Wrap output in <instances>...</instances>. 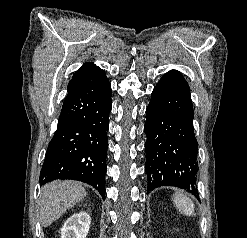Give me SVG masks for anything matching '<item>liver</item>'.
<instances>
[{
    "instance_id": "6515ba94",
    "label": "liver",
    "mask_w": 247,
    "mask_h": 238,
    "mask_svg": "<svg viewBox=\"0 0 247 238\" xmlns=\"http://www.w3.org/2000/svg\"><path fill=\"white\" fill-rule=\"evenodd\" d=\"M86 190L74 181H54L42 188L39 213L43 227L58 220L68 209L86 197Z\"/></svg>"
}]
</instances>
